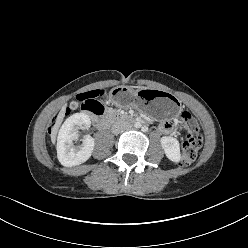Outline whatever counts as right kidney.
I'll return each mask as SVG.
<instances>
[{
  "label": "right kidney",
  "instance_id": "right-kidney-1",
  "mask_svg": "<svg viewBox=\"0 0 248 248\" xmlns=\"http://www.w3.org/2000/svg\"><path fill=\"white\" fill-rule=\"evenodd\" d=\"M91 121L87 114L76 113L66 119L59 130L57 139V157L65 167H72L86 162L92 155L95 141L86 136L80 147L75 148L73 141L78 138L80 127H90Z\"/></svg>",
  "mask_w": 248,
  "mask_h": 248
}]
</instances>
